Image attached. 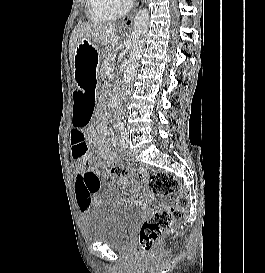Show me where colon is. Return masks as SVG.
Here are the masks:
<instances>
[{"label": "colon", "mask_w": 265, "mask_h": 273, "mask_svg": "<svg viewBox=\"0 0 265 273\" xmlns=\"http://www.w3.org/2000/svg\"><path fill=\"white\" fill-rule=\"evenodd\" d=\"M109 169L117 176H126L131 173L130 169L119 165L109 166ZM137 174L147 180L154 196L171 198L166 207L156 211L140 227L138 246L144 251H149L170 229L174 221L183 218L189 201L188 197L180 192V183L171 173L141 169L137 171Z\"/></svg>", "instance_id": "1"}]
</instances>
